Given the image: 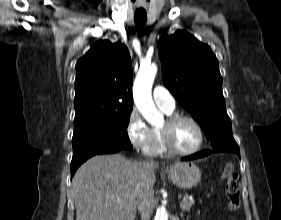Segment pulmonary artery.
<instances>
[{"label": "pulmonary artery", "instance_id": "e3ab8cb5", "mask_svg": "<svg viewBox=\"0 0 281 220\" xmlns=\"http://www.w3.org/2000/svg\"><path fill=\"white\" fill-rule=\"evenodd\" d=\"M153 99L162 110L171 112L175 108V99L167 88L157 85L153 89Z\"/></svg>", "mask_w": 281, "mask_h": 220}]
</instances>
